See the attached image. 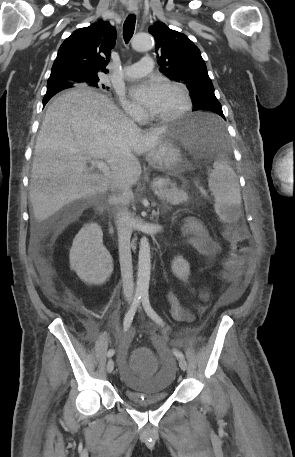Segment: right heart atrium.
I'll return each mask as SVG.
<instances>
[{"label": "right heart atrium", "mask_w": 295, "mask_h": 457, "mask_svg": "<svg viewBox=\"0 0 295 457\" xmlns=\"http://www.w3.org/2000/svg\"><path fill=\"white\" fill-rule=\"evenodd\" d=\"M118 96L122 108L131 118L141 120L144 117V111L141 107L129 101L122 92H119Z\"/></svg>", "instance_id": "1"}]
</instances>
